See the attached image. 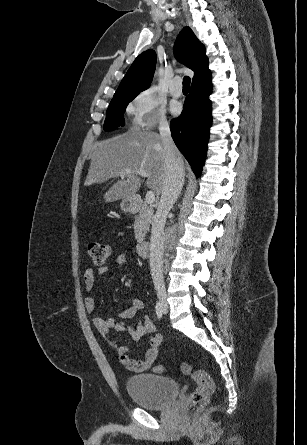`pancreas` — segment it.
Here are the masks:
<instances>
[{
	"label": "pancreas",
	"instance_id": "1",
	"mask_svg": "<svg viewBox=\"0 0 307 445\" xmlns=\"http://www.w3.org/2000/svg\"><path fill=\"white\" fill-rule=\"evenodd\" d=\"M152 220H154V210L144 202L139 208V214H137L133 225L135 239L138 243L144 241V237H146V233L150 229Z\"/></svg>",
	"mask_w": 307,
	"mask_h": 445
}]
</instances>
